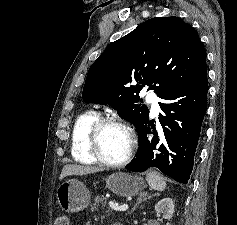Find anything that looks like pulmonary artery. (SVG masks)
<instances>
[{
	"instance_id": "1",
	"label": "pulmonary artery",
	"mask_w": 237,
	"mask_h": 225,
	"mask_svg": "<svg viewBox=\"0 0 237 225\" xmlns=\"http://www.w3.org/2000/svg\"><path fill=\"white\" fill-rule=\"evenodd\" d=\"M147 101L149 104H151V108H152V113L153 115H157L159 112V105H158V99L156 97L155 94H150L147 96Z\"/></svg>"
}]
</instances>
